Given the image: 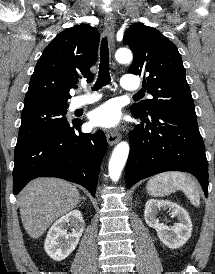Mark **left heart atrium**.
<instances>
[{
    "label": "left heart atrium",
    "mask_w": 215,
    "mask_h": 274,
    "mask_svg": "<svg viewBox=\"0 0 215 274\" xmlns=\"http://www.w3.org/2000/svg\"><path fill=\"white\" fill-rule=\"evenodd\" d=\"M120 110L113 102H107L91 112L90 121L95 127L113 129L120 123Z\"/></svg>",
    "instance_id": "left-heart-atrium-1"
}]
</instances>
